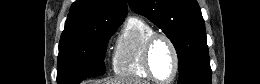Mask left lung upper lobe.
Listing matches in <instances>:
<instances>
[{"instance_id": "5c2ea615", "label": "left lung upper lobe", "mask_w": 260, "mask_h": 84, "mask_svg": "<svg viewBox=\"0 0 260 84\" xmlns=\"http://www.w3.org/2000/svg\"><path fill=\"white\" fill-rule=\"evenodd\" d=\"M128 3L173 43L179 58L178 84H211L205 23L196 0H128Z\"/></svg>"}]
</instances>
